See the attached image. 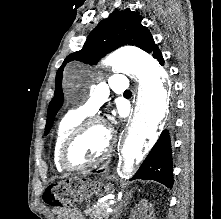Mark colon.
Here are the masks:
<instances>
[{"instance_id":"1","label":"colon","mask_w":221,"mask_h":219,"mask_svg":"<svg viewBox=\"0 0 221 219\" xmlns=\"http://www.w3.org/2000/svg\"><path fill=\"white\" fill-rule=\"evenodd\" d=\"M68 192L61 185H53L46 192V197L50 198V203L58 208H69L72 199H69Z\"/></svg>"}]
</instances>
